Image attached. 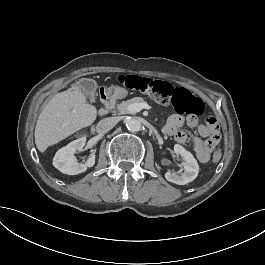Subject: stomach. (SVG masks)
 I'll use <instances>...</instances> for the list:
<instances>
[{"label": "stomach", "instance_id": "stomach-1", "mask_svg": "<svg viewBox=\"0 0 265 265\" xmlns=\"http://www.w3.org/2000/svg\"><path fill=\"white\" fill-rule=\"evenodd\" d=\"M118 91H121V88L114 87V88L109 89L108 92H109V94H111L114 97L118 98L121 95L120 92H118Z\"/></svg>", "mask_w": 265, "mask_h": 265}]
</instances>
